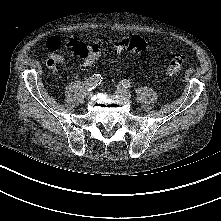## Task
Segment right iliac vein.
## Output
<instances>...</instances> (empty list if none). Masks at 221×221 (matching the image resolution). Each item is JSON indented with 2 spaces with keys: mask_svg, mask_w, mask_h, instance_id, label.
Returning a JSON list of instances; mask_svg holds the SVG:
<instances>
[{
  "mask_svg": "<svg viewBox=\"0 0 221 221\" xmlns=\"http://www.w3.org/2000/svg\"><path fill=\"white\" fill-rule=\"evenodd\" d=\"M92 96H93V91H91V90H86L85 91V97L87 99L91 98Z\"/></svg>",
  "mask_w": 221,
  "mask_h": 221,
  "instance_id": "63e3f726",
  "label": "right iliac vein"
}]
</instances>
